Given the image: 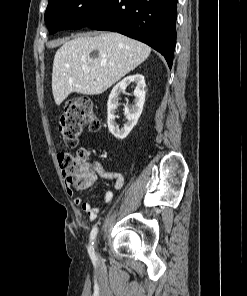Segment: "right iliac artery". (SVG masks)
Instances as JSON below:
<instances>
[{
  "instance_id": "82829eb1",
  "label": "right iliac artery",
  "mask_w": 247,
  "mask_h": 296,
  "mask_svg": "<svg viewBox=\"0 0 247 296\" xmlns=\"http://www.w3.org/2000/svg\"><path fill=\"white\" fill-rule=\"evenodd\" d=\"M97 231H98V229L95 226L90 233V245L88 248V252H89L90 258L92 260H96V255H95L94 248H93V244H94L93 240L95 239V237L97 235Z\"/></svg>"
}]
</instances>
